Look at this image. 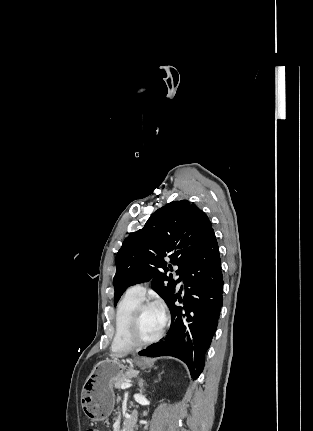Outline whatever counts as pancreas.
I'll return each instance as SVG.
<instances>
[{"instance_id": "obj_1", "label": "pancreas", "mask_w": 313, "mask_h": 431, "mask_svg": "<svg viewBox=\"0 0 313 431\" xmlns=\"http://www.w3.org/2000/svg\"><path fill=\"white\" fill-rule=\"evenodd\" d=\"M135 374H136V372L132 370V371H130V372H128V373H126L125 375H122V376L118 377V378L115 380V382L113 383V384H114V387H115L116 389H120V388H121V385H122L123 383L130 382V379H131L133 376H135Z\"/></svg>"}]
</instances>
